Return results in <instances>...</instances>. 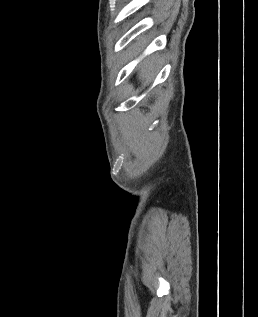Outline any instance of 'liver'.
<instances>
[{
  "mask_svg": "<svg viewBox=\"0 0 258 317\" xmlns=\"http://www.w3.org/2000/svg\"><path fill=\"white\" fill-rule=\"evenodd\" d=\"M156 62H159L158 56H149V58H146V60H144V66H141L143 70V78H145V76H148V78H151V76H153V72L157 70Z\"/></svg>",
  "mask_w": 258,
  "mask_h": 317,
  "instance_id": "liver-1",
  "label": "liver"
}]
</instances>
